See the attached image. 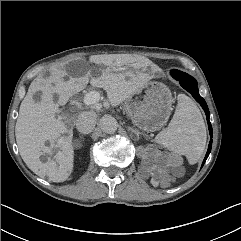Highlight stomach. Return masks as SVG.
<instances>
[{"mask_svg": "<svg viewBox=\"0 0 241 241\" xmlns=\"http://www.w3.org/2000/svg\"><path fill=\"white\" fill-rule=\"evenodd\" d=\"M173 98L169 88L159 81H149L125 101L132 122L139 129L154 132L166 125Z\"/></svg>", "mask_w": 241, "mask_h": 241, "instance_id": "stomach-1", "label": "stomach"}]
</instances>
